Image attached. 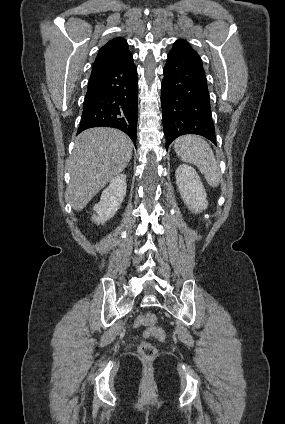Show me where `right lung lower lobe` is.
Listing matches in <instances>:
<instances>
[{
    "mask_svg": "<svg viewBox=\"0 0 285 424\" xmlns=\"http://www.w3.org/2000/svg\"><path fill=\"white\" fill-rule=\"evenodd\" d=\"M137 113L138 79L132 58L91 73L77 134L92 127H113L136 145Z\"/></svg>",
    "mask_w": 285,
    "mask_h": 424,
    "instance_id": "1",
    "label": "right lung lower lobe"
}]
</instances>
